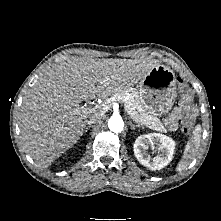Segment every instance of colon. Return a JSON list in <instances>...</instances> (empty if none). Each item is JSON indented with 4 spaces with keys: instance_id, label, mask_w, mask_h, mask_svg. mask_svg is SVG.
I'll return each instance as SVG.
<instances>
[{
    "instance_id": "5ec220e1",
    "label": "colon",
    "mask_w": 221,
    "mask_h": 221,
    "mask_svg": "<svg viewBox=\"0 0 221 221\" xmlns=\"http://www.w3.org/2000/svg\"><path fill=\"white\" fill-rule=\"evenodd\" d=\"M179 90L184 99H191V90L186 82L181 78L178 79ZM195 118V112L193 109H188L185 111V115L181 121V129L184 133L188 134L191 132Z\"/></svg>"
}]
</instances>
